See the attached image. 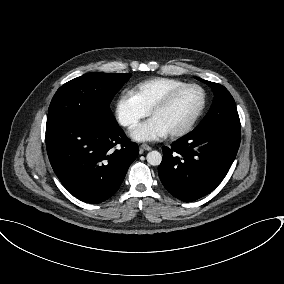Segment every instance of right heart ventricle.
I'll use <instances>...</instances> for the list:
<instances>
[{
    "label": "right heart ventricle",
    "mask_w": 284,
    "mask_h": 284,
    "mask_svg": "<svg viewBox=\"0 0 284 284\" xmlns=\"http://www.w3.org/2000/svg\"><path fill=\"white\" fill-rule=\"evenodd\" d=\"M185 84L186 82L176 78L154 77L137 84L132 93L150 111L168 93Z\"/></svg>",
    "instance_id": "1"
}]
</instances>
